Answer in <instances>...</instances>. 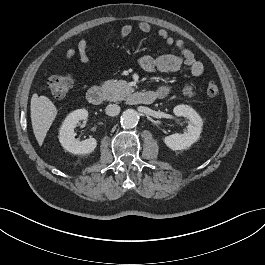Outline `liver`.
Segmentation results:
<instances>
[{
	"label": "liver",
	"mask_w": 265,
	"mask_h": 265,
	"mask_svg": "<svg viewBox=\"0 0 265 265\" xmlns=\"http://www.w3.org/2000/svg\"><path fill=\"white\" fill-rule=\"evenodd\" d=\"M30 110L33 132L41 146L57 115V109L48 97L38 96L37 93H34L31 98Z\"/></svg>",
	"instance_id": "1"
}]
</instances>
